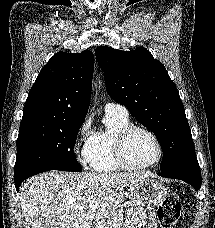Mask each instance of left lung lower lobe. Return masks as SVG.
<instances>
[{
    "label": "left lung lower lobe",
    "instance_id": "0a47b994",
    "mask_svg": "<svg viewBox=\"0 0 215 228\" xmlns=\"http://www.w3.org/2000/svg\"><path fill=\"white\" fill-rule=\"evenodd\" d=\"M158 175L183 180L191 184L196 191L201 187V171L196 157L186 159L167 170L161 171Z\"/></svg>",
    "mask_w": 215,
    "mask_h": 228
}]
</instances>
